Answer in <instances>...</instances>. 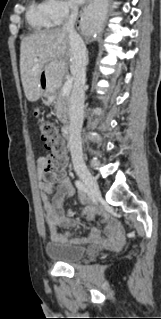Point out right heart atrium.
Here are the masks:
<instances>
[{"mask_svg":"<svg viewBox=\"0 0 161 319\" xmlns=\"http://www.w3.org/2000/svg\"><path fill=\"white\" fill-rule=\"evenodd\" d=\"M47 3L54 17L55 25H60L75 10L67 0H48Z\"/></svg>","mask_w":161,"mask_h":319,"instance_id":"1","label":"right heart atrium"}]
</instances>
